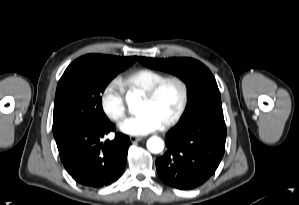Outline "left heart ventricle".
<instances>
[{
    "instance_id": "obj_1",
    "label": "left heart ventricle",
    "mask_w": 299,
    "mask_h": 205,
    "mask_svg": "<svg viewBox=\"0 0 299 205\" xmlns=\"http://www.w3.org/2000/svg\"><path fill=\"white\" fill-rule=\"evenodd\" d=\"M180 95V88L175 84H169L154 100L146 101L141 98L137 112H150L163 124L177 110Z\"/></svg>"
}]
</instances>
